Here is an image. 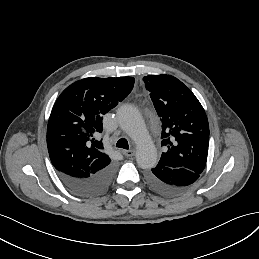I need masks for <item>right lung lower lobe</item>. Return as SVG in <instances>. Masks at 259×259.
Instances as JSON below:
<instances>
[{
  "label": "right lung lower lobe",
  "instance_id": "obj_1",
  "mask_svg": "<svg viewBox=\"0 0 259 259\" xmlns=\"http://www.w3.org/2000/svg\"><path fill=\"white\" fill-rule=\"evenodd\" d=\"M114 173L115 167L112 163L86 178L73 177L57 171L63 184L72 192L82 196H94L105 191L110 186Z\"/></svg>",
  "mask_w": 259,
  "mask_h": 259
}]
</instances>
